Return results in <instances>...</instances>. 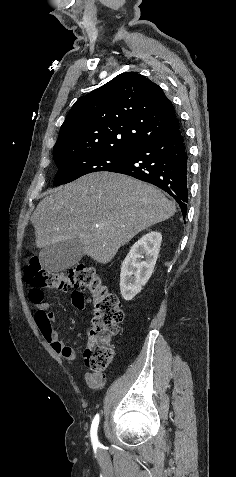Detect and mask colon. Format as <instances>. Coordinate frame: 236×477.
I'll list each match as a JSON object with an SVG mask.
<instances>
[{"label":"colon","mask_w":236,"mask_h":477,"mask_svg":"<svg viewBox=\"0 0 236 477\" xmlns=\"http://www.w3.org/2000/svg\"><path fill=\"white\" fill-rule=\"evenodd\" d=\"M24 280L29 286L32 302L41 301L46 289L70 288L91 294L94 311L84 358L91 371L106 370L114 358L111 339L117 334L124 314L119 299L106 286L98 271L93 266L77 264L66 272H50L34 256L25 267Z\"/></svg>","instance_id":"5ec220e1"}]
</instances>
